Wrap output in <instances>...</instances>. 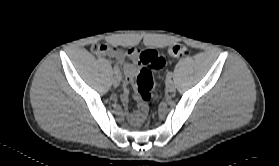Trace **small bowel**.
Instances as JSON below:
<instances>
[{"label": "small bowel", "instance_id": "obj_1", "mask_svg": "<svg viewBox=\"0 0 279 166\" xmlns=\"http://www.w3.org/2000/svg\"><path fill=\"white\" fill-rule=\"evenodd\" d=\"M102 46H103L102 49L98 52V54L101 56L108 55V56L116 59L117 61H123L125 56H128V57L132 58V60H133L132 62H126L124 64L126 82H125V86H124V92L122 94V101L124 103H127L128 98H129V87L133 84L134 77H135L136 73L138 72V65L135 61V56L138 53L139 49L130 48V49L126 50L125 52H122L120 50L115 49L114 47H112L109 44H103ZM164 65H165V62H164ZM164 65H163V67H164ZM131 120L133 122H138L140 119L137 117V114L135 113V114L131 115Z\"/></svg>", "mask_w": 279, "mask_h": 166}]
</instances>
